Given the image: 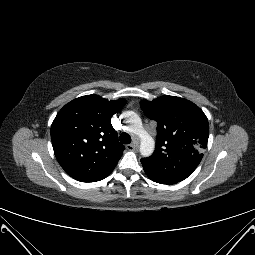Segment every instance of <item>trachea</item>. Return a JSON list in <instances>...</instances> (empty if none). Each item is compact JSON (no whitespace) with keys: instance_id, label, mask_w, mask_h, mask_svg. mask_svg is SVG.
I'll list each match as a JSON object with an SVG mask.
<instances>
[{"instance_id":"3493384b","label":"trachea","mask_w":255,"mask_h":255,"mask_svg":"<svg viewBox=\"0 0 255 255\" xmlns=\"http://www.w3.org/2000/svg\"><path fill=\"white\" fill-rule=\"evenodd\" d=\"M120 142L123 144H130L131 143V137L127 133H122L120 135Z\"/></svg>"}]
</instances>
